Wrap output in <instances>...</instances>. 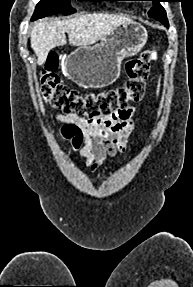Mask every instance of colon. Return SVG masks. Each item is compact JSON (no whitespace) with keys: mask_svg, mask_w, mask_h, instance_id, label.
Returning a JSON list of instances; mask_svg holds the SVG:
<instances>
[{"mask_svg":"<svg viewBox=\"0 0 193 287\" xmlns=\"http://www.w3.org/2000/svg\"><path fill=\"white\" fill-rule=\"evenodd\" d=\"M155 58L156 52L152 49L128 60L125 64L128 80L121 87L81 94L61 82L57 74L59 58L56 54H50L41 75L39 90L55 108L86 121H101L114 111L141 100L150 65Z\"/></svg>","mask_w":193,"mask_h":287,"instance_id":"1","label":"colon"}]
</instances>
